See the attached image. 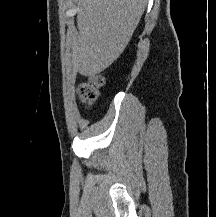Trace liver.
<instances>
[{
    "instance_id": "liver-1",
    "label": "liver",
    "mask_w": 216,
    "mask_h": 217,
    "mask_svg": "<svg viewBox=\"0 0 216 217\" xmlns=\"http://www.w3.org/2000/svg\"><path fill=\"white\" fill-rule=\"evenodd\" d=\"M146 0H78L74 68L84 76L109 67L128 45Z\"/></svg>"
}]
</instances>
